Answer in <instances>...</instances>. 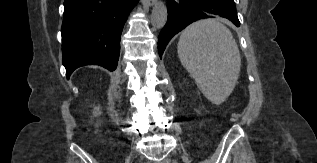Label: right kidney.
I'll return each instance as SVG.
<instances>
[{"instance_id": "right-kidney-1", "label": "right kidney", "mask_w": 317, "mask_h": 163, "mask_svg": "<svg viewBox=\"0 0 317 163\" xmlns=\"http://www.w3.org/2000/svg\"><path fill=\"white\" fill-rule=\"evenodd\" d=\"M93 115L95 117H98L99 115H101V111H100V107H95L93 110Z\"/></svg>"}]
</instances>
